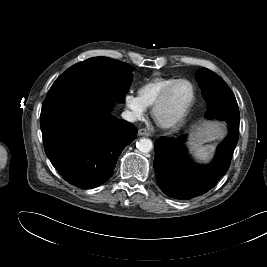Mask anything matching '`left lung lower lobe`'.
<instances>
[{"label": "left lung lower lobe", "mask_w": 267, "mask_h": 267, "mask_svg": "<svg viewBox=\"0 0 267 267\" xmlns=\"http://www.w3.org/2000/svg\"><path fill=\"white\" fill-rule=\"evenodd\" d=\"M208 119L227 121L229 133L219 145L213 162L207 166L194 165L188 158L183 143L186 136L161 137L155 143L154 169L157 184L168 196L192 199L209 191L229 168L239 136V109L219 111Z\"/></svg>", "instance_id": "0a47b994"}]
</instances>
